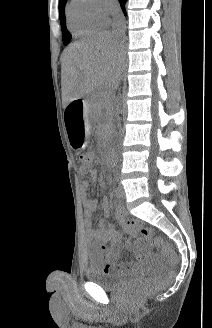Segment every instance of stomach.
<instances>
[{"label":"stomach","instance_id":"obj_1","mask_svg":"<svg viewBox=\"0 0 212 328\" xmlns=\"http://www.w3.org/2000/svg\"><path fill=\"white\" fill-rule=\"evenodd\" d=\"M81 102H71L65 105L63 123L68 135L70 146L83 149L85 145V128L87 127L86 109H81Z\"/></svg>","mask_w":212,"mask_h":328}]
</instances>
